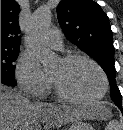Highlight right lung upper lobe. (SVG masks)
I'll return each instance as SVG.
<instances>
[{"label": "right lung upper lobe", "instance_id": "cb5924a9", "mask_svg": "<svg viewBox=\"0 0 123 130\" xmlns=\"http://www.w3.org/2000/svg\"><path fill=\"white\" fill-rule=\"evenodd\" d=\"M19 11L16 1L1 0V49L15 50L20 47Z\"/></svg>", "mask_w": 123, "mask_h": 130}]
</instances>
